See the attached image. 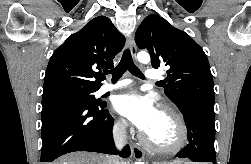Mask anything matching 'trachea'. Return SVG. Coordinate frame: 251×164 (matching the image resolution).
Returning <instances> with one entry per match:
<instances>
[{"mask_svg": "<svg viewBox=\"0 0 251 164\" xmlns=\"http://www.w3.org/2000/svg\"><path fill=\"white\" fill-rule=\"evenodd\" d=\"M130 71L136 77L144 79L142 72L136 67L132 60V56L129 49H126L123 53L122 59L119 64L112 70H106L105 74H112V81H118L125 71Z\"/></svg>", "mask_w": 251, "mask_h": 164, "instance_id": "3493384b", "label": "trachea"}]
</instances>
